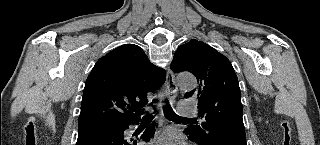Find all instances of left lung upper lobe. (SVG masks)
<instances>
[{
    "label": "left lung upper lobe",
    "mask_w": 320,
    "mask_h": 145,
    "mask_svg": "<svg viewBox=\"0 0 320 145\" xmlns=\"http://www.w3.org/2000/svg\"><path fill=\"white\" fill-rule=\"evenodd\" d=\"M170 67L174 72H191L198 81L185 97L198 101L199 116L205 122L190 126V137L203 145H211L224 133L246 137L239 83L228 58L192 39L177 49Z\"/></svg>",
    "instance_id": "1"
}]
</instances>
